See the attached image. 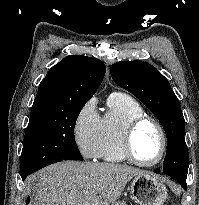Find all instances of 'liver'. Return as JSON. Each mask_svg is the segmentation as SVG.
I'll return each instance as SVG.
<instances>
[{
    "label": "liver",
    "mask_w": 199,
    "mask_h": 205,
    "mask_svg": "<svg viewBox=\"0 0 199 205\" xmlns=\"http://www.w3.org/2000/svg\"><path fill=\"white\" fill-rule=\"evenodd\" d=\"M142 173L115 163L66 161L40 170L29 181H36L37 205H110Z\"/></svg>",
    "instance_id": "6515ba94"
}]
</instances>
